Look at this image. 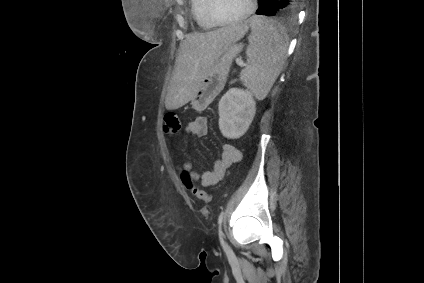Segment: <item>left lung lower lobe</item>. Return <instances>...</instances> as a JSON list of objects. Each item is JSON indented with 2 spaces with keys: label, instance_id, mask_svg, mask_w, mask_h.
Returning a JSON list of instances; mask_svg holds the SVG:
<instances>
[{
  "label": "left lung lower lobe",
  "instance_id": "1",
  "mask_svg": "<svg viewBox=\"0 0 424 283\" xmlns=\"http://www.w3.org/2000/svg\"><path fill=\"white\" fill-rule=\"evenodd\" d=\"M300 0H258L256 14L273 16L278 11L295 10Z\"/></svg>",
  "mask_w": 424,
  "mask_h": 283
}]
</instances>
